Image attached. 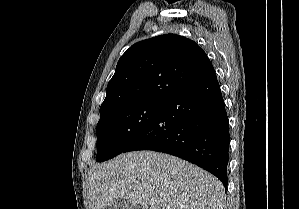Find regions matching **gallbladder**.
<instances>
[{"label": "gallbladder", "instance_id": "gallbladder-1", "mask_svg": "<svg viewBox=\"0 0 299 209\" xmlns=\"http://www.w3.org/2000/svg\"><path fill=\"white\" fill-rule=\"evenodd\" d=\"M105 209H139L138 206L133 205L127 200L121 199L113 202L105 207Z\"/></svg>", "mask_w": 299, "mask_h": 209}]
</instances>
